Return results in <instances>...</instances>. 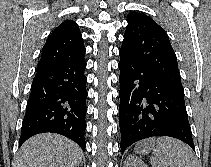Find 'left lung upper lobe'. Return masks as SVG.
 <instances>
[{
	"label": "left lung upper lobe",
	"mask_w": 211,
	"mask_h": 167,
	"mask_svg": "<svg viewBox=\"0 0 211 167\" xmlns=\"http://www.w3.org/2000/svg\"><path fill=\"white\" fill-rule=\"evenodd\" d=\"M127 22L120 50L162 80L183 90L177 57L165 30L143 13H129Z\"/></svg>",
	"instance_id": "left-lung-upper-lobe-1"
}]
</instances>
